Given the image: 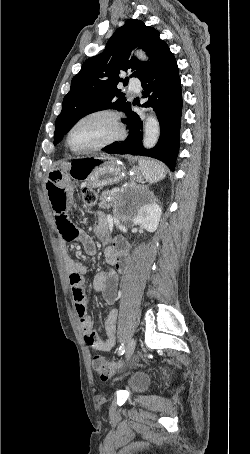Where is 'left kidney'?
<instances>
[{
	"mask_svg": "<svg viewBox=\"0 0 250 454\" xmlns=\"http://www.w3.org/2000/svg\"><path fill=\"white\" fill-rule=\"evenodd\" d=\"M161 214L160 206L156 202H150L139 210L135 221L148 232H154L158 228Z\"/></svg>",
	"mask_w": 250,
	"mask_h": 454,
	"instance_id": "left-kidney-1",
	"label": "left kidney"
}]
</instances>
